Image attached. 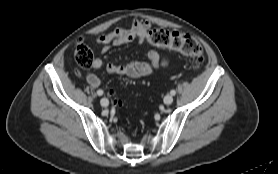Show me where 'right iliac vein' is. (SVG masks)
I'll list each match as a JSON object with an SVG mask.
<instances>
[{
    "label": "right iliac vein",
    "mask_w": 278,
    "mask_h": 174,
    "mask_svg": "<svg viewBox=\"0 0 278 174\" xmlns=\"http://www.w3.org/2000/svg\"><path fill=\"white\" fill-rule=\"evenodd\" d=\"M100 104H101V106H103V107H107V106L109 105V101H108L107 98H102V99L100 100Z\"/></svg>",
    "instance_id": "right-iliac-vein-1"
}]
</instances>
